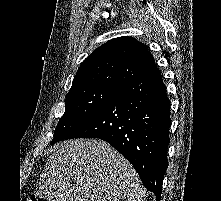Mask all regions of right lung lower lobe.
Segmentation results:
<instances>
[{
    "label": "right lung lower lobe",
    "mask_w": 221,
    "mask_h": 201,
    "mask_svg": "<svg viewBox=\"0 0 221 201\" xmlns=\"http://www.w3.org/2000/svg\"><path fill=\"white\" fill-rule=\"evenodd\" d=\"M170 101L155 68L121 88L66 139L99 138L133 165L143 185L160 201L168 167Z\"/></svg>",
    "instance_id": "1"
}]
</instances>
